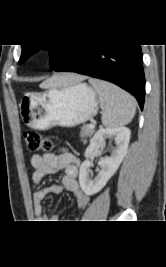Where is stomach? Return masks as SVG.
I'll return each mask as SVG.
<instances>
[{
	"instance_id": "obj_1",
	"label": "stomach",
	"mask_w": 166,
	"mask_h": 267,
	"mask_svg": "<svg viewBox=\"0 0 166 267\" xmlns=\"http://www.w3.org/2000/svg\"><path fill=\"white\" fill-rule=\"evenodd\" d=\"M98 109L97 94L86 83L28 93L20 103L23 122L37 130L74 127L95 117Z\"/></svg>"
}]
</instances>
